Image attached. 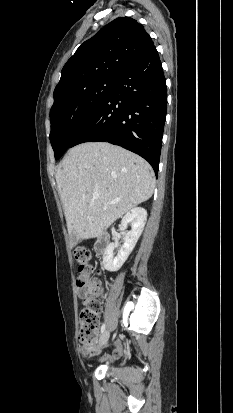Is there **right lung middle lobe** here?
<instances>
[{"label": "right lung middle lobe", "instance_id": "obj_1", "mask_svg": "<svg viewBox=\"0 0 233 413\" xmlns=\"http://www.w3.org/2000/svg\"><path fill=\"white\" fill-rule=\"evenodd\" d=\"M115 78L93 81L54 100L50 110V141L55 159L71 147L76 137L92 119L110 94Z\"/></svg>", "mask_w": 233, "mask_h": 413}]
</instances>
